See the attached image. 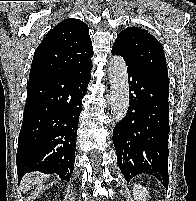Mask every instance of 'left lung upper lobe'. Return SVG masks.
Returning a JSON list of instances; mask_svg holds the SVG:
<instances>
[{
  "instance_id": "left-lung-upper-lobe-1",
  "label": "left lung upper lobe",
  "mask_w": 196,
  "mask_h": 201,
  "mask_svg": "<svg viewBox=\"0 0 196 201\" xmlns=\"http://www.w3.org/2000/svg\"><path fill=\"white\" fill-rule=\"evenodd\" d=\"M112 50L117 51L126 64L169 83L163 47L146 30L127 27L117 36Z\"/></svg>"
}]
</instances>
